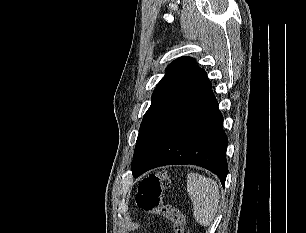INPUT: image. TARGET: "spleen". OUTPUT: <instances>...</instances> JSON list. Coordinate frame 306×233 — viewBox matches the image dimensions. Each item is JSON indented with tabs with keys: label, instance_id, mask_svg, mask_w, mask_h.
I'll use <instances>...</instances> for the list:
<instances>
[{
	"label": "spleen",
	"instance_id": "1",
	"mask_svg": "<svg viewBox=\"0 0 306 233\" xmlns=\"http://www.w3.org/2000/svg\"><path fill=\"white\" fill-rule=\"evenodd\" d=\"M187 192L193 203V215L200 225L212 224L219 205V187L215 180L191 172L187 177Z\"/></svg>",
	"mask_w": 306,
	"mask_h": 233
}]
</instances>
